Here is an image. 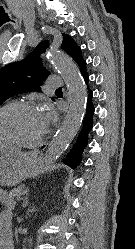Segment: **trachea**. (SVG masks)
I'll return each instance as SVG.
<instances>
[{"label": "trachea", "mask_w": 135, "mask_h": 249, "mask_svg": "<svg viewBox=\"0 0 135 249\" xmlns=\"http://www.w3.org/2000/svg\"><path fill=\"white\" fill-rule=\"evenodd\" d=\"M56 91H62V88H58Z\"/></svg>", "instance_id": "1"}]
</instances>
